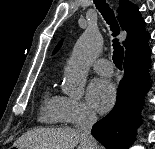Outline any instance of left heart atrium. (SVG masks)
<instances>
[{"mask_svg": "<svg viewBox=\"0 0 155 149\" xmlns=\"http://www.w3.org/2000/svg\"><path fill=\"white\" fill-rule=\"evenodd\" d=\"M116 91L114 85L104 79H95L87 91L88 104L98 113L107 112L114 104Z\"/></svg>", "mask_w": 155, "mask_h": 149, "instance_id": "obj_1", "label": "left heart atrium"}]
</instances>
